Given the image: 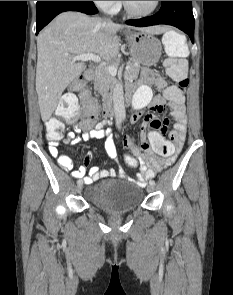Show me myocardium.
<instances>
[{
  "instance_id": "obj_1",
  "label": "myocardium",
  "mask_w": 233,
  "mask_h": 295,
  "mask_svg": "<svg viewBox=\"0 0 233 295\" xmlns=\"http://www.w3.org/2000/svg\"><path fill=\"white\" fill-rule=\"evenodd\" d=\"M121 4H122L125 12L127 14H129L130 16L137 17V18H144V17H148V16L152 15L158 9V7L160 5V1H155L152 9H150L149 11H147L145 13H139V12L132 10L127 1H121Z\"/></svg>"
}]
</instances>
